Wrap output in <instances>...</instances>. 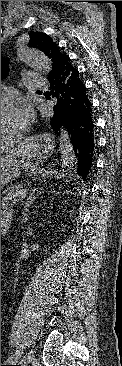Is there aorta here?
<instances>
[{
  "label": "aorta",
  "mask_w": 122,
  "mask_h": 366,
  "mask_svg": "<svg viewBox=\"0 0 122 366\" xmlns=\"http://www.w3.org/2000/svg\"><path fill=\"white\" fill-rule=\"evenodd\" d=\"M17 55L19 60L26 66L40 70L44 74H48L52 70L51 59L41 50L26 45H19L17 49ZM59 140V151L60 157V167L69 168L73 166L74 163V151L73 144L71 142V135L65 127L60 128Z\"/></svg>",
  "instance_id": "1"
}]
</instances>
